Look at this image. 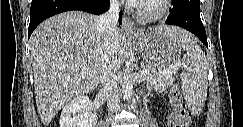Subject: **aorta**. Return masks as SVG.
I'll return each mask as SVG.
<instances>
[{"mask_svg": "<svg viewBox=\"0 0 243 127\" xmlns=\"http://www.w3.org/2000/svg\"><path fill=\"white\" fill-rule=\"evenodd\" d=\"M122 92L124 97L128 100L132 96L133 92V77L131 74V68L129 65L126 66L124 70V77L122 82Z\"/></svg>", "mask_w": 243, "mask_h": 127, "instance_id": "aorta-1", "label": "aorta"}]
</instances>
